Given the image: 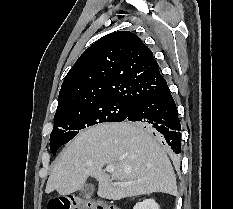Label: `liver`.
<instances>
[{
  "mask_svg": "<svg viewBox=\"0 0 233 209\" xmlns=\"http://www.w3.org/2000/svg\"><path fill=\"white\" fill-rule=\"evenodd\" d=\"M109 165L114 167L110 174L103 169ZM89 176L98 181L97 195L108 200L178 194L166 152L150 130L136 123H105L81 131L58 158L45 192L69 195L83 188Z\"/></svg>",
  "mask_w": 233,
  "mask_h": 209,
  "instance_id": "1",
  "label": "liver"
}]
</instances>
